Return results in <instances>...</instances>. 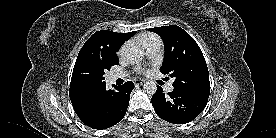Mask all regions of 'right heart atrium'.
Here are the masks:
<instances>
[{
  "mask_svg": "<svg viewBox=\"0 0 276 138\" xmlns=\"http://www.w3.org/2000/svg\"><path fill=\"white\" fill-rule=\"evenodd\" d=\"M126 48H127V46H126V45H123V46L119 49L118 55H119V56H124V54H125V52H126Z\"/></svg>",
  "mask_w": 276,
  "mask_h": 138,
  "instance_id": "right-heart-atrium-1",
  "label": "right heart atrium"
}]
</instances>
